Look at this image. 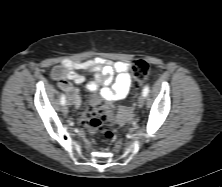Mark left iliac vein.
<instances>
[{"mask_svg": "<svg viewBox=\"0 0 222 187\" xmlns=\"http://www.w3.org/2000/svg\"><path fill=\"white\" fill-rule=\"evenodd\" d=\"M144 102H145V96L142 94V95H140V97L138 98V107H139V108L143 107Z\"/></svg>", "mask_w": 222, "mask_h": 187, "instance_id": "4c4485c4", "label": "left iliac vein"}]
</instances>
